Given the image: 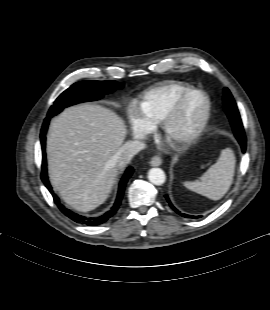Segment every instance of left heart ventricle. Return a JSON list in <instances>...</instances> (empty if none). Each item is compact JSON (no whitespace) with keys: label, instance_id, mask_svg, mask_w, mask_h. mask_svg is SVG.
Returning a JSON list of instances; mask_svg holds the SVG:
<instances>
[{"label":"left heart ventricle","instance_id":"1","mask_svg":"<svg viewBox=\"0 0 270 310\" xmlns=\"http://www.w3.org/2000/svg\"><path fill=\"white\" fill-rule=\"evenodd\" d=\"M201 107V100L198 97H192L177 118L173 126L174 131L182 133L192 128L198 120Z\"/></svg>","mask_w":270,"mask_h":310}]
</instances>
